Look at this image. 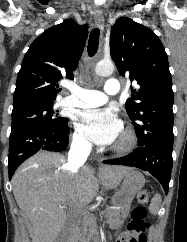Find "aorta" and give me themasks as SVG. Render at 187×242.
<instances>
[{"label": "aorta", "mask_w": 187, "mask_h": 242, "mask_svg": "<svg viewBox=\"0 0 187 242\" xmlns=\"http://www.w3.org/2000/svg\"><path fill=\"white\" fill-rule=\"evenodd\" d=\"M114 71V65L112 62L100 61L95 67V72L100 76H109Z\"/></svg>", "instance_id": "762f6f07"}]
</instances>
